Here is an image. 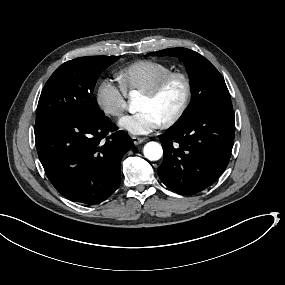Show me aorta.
<instances>
[{
    "instance_id": "obj_1",
    "label": "aorta",
    "mask_w": 285,
    "mask_h": 285,
    "mask_svg": "<svg viewBox=\"0 0 285 285\" xmlns=\"http://www.w3.org/2000/svg\"><path fill=\"white\" fill-rule=\"evenodd\" d=\"M134 90L129 91V97H132ZM144 156L150 161H157L161 159L163 155V149L161 145L156 142H150L145 145L143 150Z\"/></svg>"
}]
</instances>
